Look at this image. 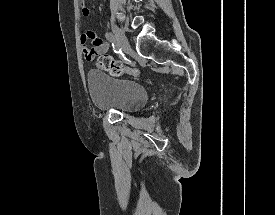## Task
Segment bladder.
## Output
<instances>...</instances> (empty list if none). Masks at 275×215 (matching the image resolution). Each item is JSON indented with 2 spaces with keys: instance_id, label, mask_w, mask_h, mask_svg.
Masks as SVG:
<instances>
[{
  "instance_id": "31cf9c89",
  "label": "bladder",
  "mask_w": 275,
  "mask_h": 215,
  "mask_svg": "<svg viewBox=\"0 0 275 215\" xmlns=\"http://www.w3.org/2000/svg\"><path fill=\"white\" fill-rule=\"evenodd\" d=\"M86 79L92 102L99 110L131 113L148 101V91L138 81L111 77L98 70L88 71Z\"/></svg>"
}]
</instances>
